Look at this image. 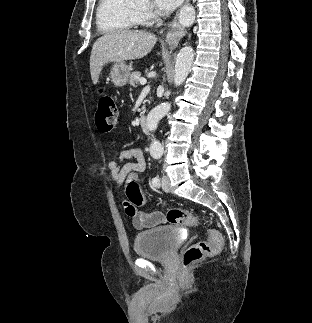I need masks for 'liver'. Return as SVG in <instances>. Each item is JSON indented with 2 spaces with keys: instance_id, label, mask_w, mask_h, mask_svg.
I'll return each instance as SVG.
<instances>
[{
  "instance_id": "liver-1",
  "label": "liver",
  "mask_w": 312,
  "mask_h": 323,
  "mask_svg": "<svg viewBox=\"0 0 312 323\" xmlns=\"http://www.w3.org/2000/svg\"><path fill=\"white\" fill-rule=\"evenodd\" d=\"M157 42L154 34L138 30L108 32L93 44L90 56V74L93 84H98L103 66L110 62L139 60L153 50Z\"/></svg>"
}]
</instances>
